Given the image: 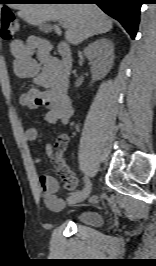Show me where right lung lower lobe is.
<instances>
[{
	"label": "right lung lower lobe",
	"instance_id": "98d812e1",
	"mask_svg": "<svg viewBox=\"0 0 156 266\" xmlns=\"http://www.w3.org/2000/svg\"><path fill=\"white\" fill-rule=\"evenodd\" d=\"M144 0H46L59 4H97L105 13L118 20L132 39L135 38L140 7Z\"/></svg>",
	"mask_w": 156,
	"mask_h": 266
}]
</instances>
